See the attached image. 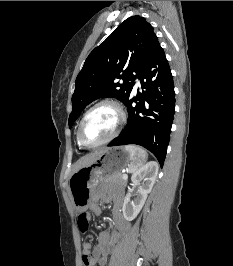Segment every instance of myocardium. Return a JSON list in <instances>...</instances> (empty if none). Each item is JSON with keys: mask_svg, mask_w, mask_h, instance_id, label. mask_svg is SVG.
Here are the masks:
<instances>
[{"mask_svg": "<svg viewBox=\"0 0 233 266\" xmlns=\"http://www.w3.org/2000/svg\"><path fill=\"white\" fill-rule=\"evenodd\" d=\"M103 105H110L112 107H114L118 113V122L113 130V132L107 137L105 138L104 140L98 142V143H95V144H87L83 141L82 139V128H83V125L86 121V119L89 117V115L94 111L96 110L97 108H99L100 106H103ZM125 122H126V112L124 110V107L122 106V104L115 100V99H103L99 102H97L96 104H94L86 113L85 115L83 116V118L81 119L80 123H79V126H78V129H77V140H78V143L79 145L85 147V148H96V147H99V146H102L104 144H107L109 142H111L113 139H115L121 132L122 128L124 127L125 125Z\"/></svg>", "mask_w": 233, "mask_h": 266, "instance_id": "f54148a6", "label": "myocardium"}]
</instances>
